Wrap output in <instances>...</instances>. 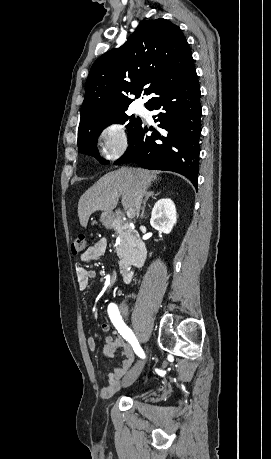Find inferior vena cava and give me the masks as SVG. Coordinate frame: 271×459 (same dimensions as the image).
I'll use <instances>...</instances> for the list:
<instances>
[{
  "mask_svg": "<svg viewBox=\"0 0 271 459\" xmlns=\"http://www.w3.org/2000/svg\"><path fill=\"white\" fill-rule=\"evenodd\" d=\"M141 198H142L141 192H136L134 214H136L137 218H138L139 212H140Z\"/></svg>",
  "mask_w": 271,
  "mask_h": 459,
  "instance_id": "inferior-vena-cava-1",
  "label": "inferior vena cava"
}]
</instances>
